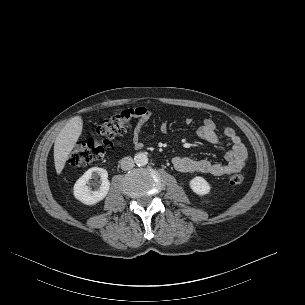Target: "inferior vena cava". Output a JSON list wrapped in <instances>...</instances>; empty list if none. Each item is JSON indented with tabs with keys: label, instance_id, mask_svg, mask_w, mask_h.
I'll use <instances>...</instances> for the list:
<instances>
[{
	"label": "inferior vena cava",
	"instance_id": "1",
	"mask_svg": "<svg viewBox=\"0 0 305 305\" xmlns=\"http://www.w3.org/2000/svg\"><path fill=\"white\" fill-rule=\"evenodd\" d=\"M121 169L122 170H130L134 167V160L131 157H124L120 161Z\"/></svg>",
	"mask_w": 305,
	"mask_h": 305
}]
</instances>
